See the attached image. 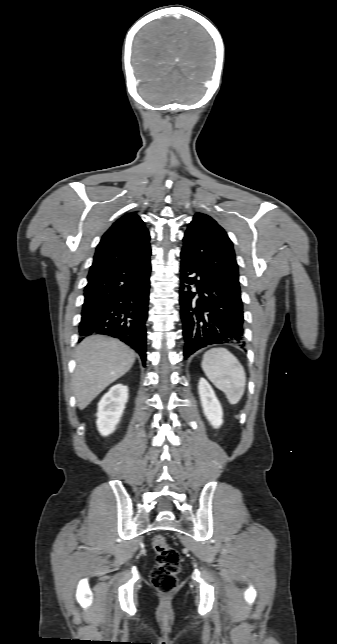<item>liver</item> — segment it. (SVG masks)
Masks as SVG:
<instances>
[{"label": "liver", "mask_w": 337, "mask_h": 644, "mask_svg": "<svg viewBox=\"0 0 337 644\" xmlns=\"http://www.w3.org/2000/svg\"><path fill=\"white\" fill-rule=\"evenodd\" d=\"M135 356L117 339L100 335L85 338L76 350L72 381L78 408L85 409L107 386L126 374Z\"/></svg>", "instance_id": "obj_1"}]
</instances>
